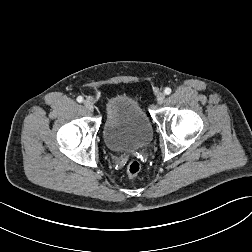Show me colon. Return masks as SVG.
<instances>
[{
    "mask_svg": "<svg viewBox=\"0 0 252 252\" xmlns=\"http://www.w3.org/2000/svg\"><path fill=\"white\" fill-rule=\"evenodd\" d=\"M141 170V163L137 160H131L126 168V173L129 177H135Z\"/></svg>",
    "mask_w": 252,
    "mask_h": 252,
    "instance_id": "colon-1",
    "label": "colon"
}]
</instances>
